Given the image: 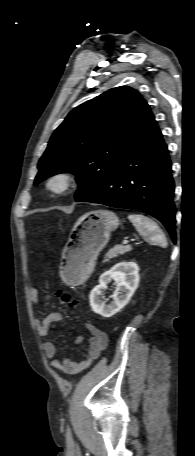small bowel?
I'll use <instances>...</instances> for the list:
<instances>
[{
    "instance_id": "1",
    "label": "small bowel",
    "mask_w": 195,
    "mask_h": 456,
    "mask_svg": "<svg viewBox=\"0 0 195 456\" xmlns=\"http://www.w3.org/2000/svg\"><path fill=\"white\" fill-rule=\"evenodd\" d=\"M30 299L33 304H38L39 290L35 286L29 289ZM63 320L59 312H52L42 320H36L37 331L43 339V350L46 356L51 360L52 365L68 374H77L86 369L100 355L107 345V335L94 324L89 323L87 329L91 335L86 352L78 360L70 358H60L56 353V347L52 340L49 339V333L56 325ZM82 336L77 338L80 343Z\"/></svg>"
}]
</instances>
